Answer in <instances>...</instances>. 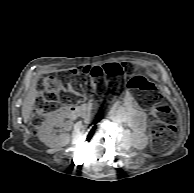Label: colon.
Listing matches in <instances>:
<instances>
[{
  "mask_svg": "<svg viewBox=\"0 0 194 193\" xmlns=\"http://www.w3.org/2000/svg\"><path fill=\"white\" fill-rule=\"evenodd\" d=\"M79 73L93 80L110 77L117 87L123 78L130 76L127 82L128 89L137 96L144 107L151 109L154 149L163 150L174 142L177 128L169 121L172 113L170 107L161 104L162 97L158 87L145 77L136 75L135 68L125 63H107L81 70L70 69L63 71L59 76L48 74L42 77L38 87L36 113L32 119L34 129L44 122L47 114L56 111L61 103L65 104L71 100L72 94L77 92L72 86L73 78Z\"/></svg>",
  "mask_w": 194,
  "mask_h": 193,
  "instance_id": "1",
  "label": "colon"
}]
</instances>
